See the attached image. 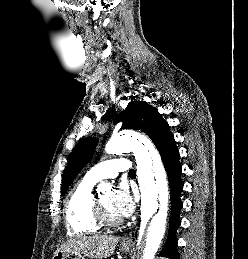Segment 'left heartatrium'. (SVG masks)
I'll return each mask as SVG.
<instances>
[{"label": "left heart atrium", "instance_id": "39dd6f15", "mask_svg": "<svg viewBox=\"0 0 248 259\" xmlns=\"http://www.w3.org/2000/svg\"><path fill=\"white\" fill-rule=\"evenodd\" d=\"M134 199L124 184L118 186L112 195V207L119 217H128L134 210Z\"/></svg>", "mask_w": 248, "mask_h": 259}]
</instances>
